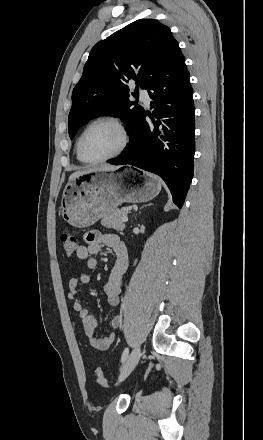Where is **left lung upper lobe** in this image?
<instances>
[{"instance_id": "obj_1", "label": "left lung upper lobe", "mask_w": 263, "mask_h": 440, "mask_svg": "<svg viewBox=\"0 0 263 440\" xmlns=\"http://www.w3.org/2000/svg\"><path fill=\"white\" fill-rule=\"evenodd\" d=\"M177 46L170 29L154 19L136 20L98 42L72 92L70 138L101 115L121 117L130 130L144 109L129 100L128 83L136 81V91L146 89Z\"/></svg>"}]
</instances>
